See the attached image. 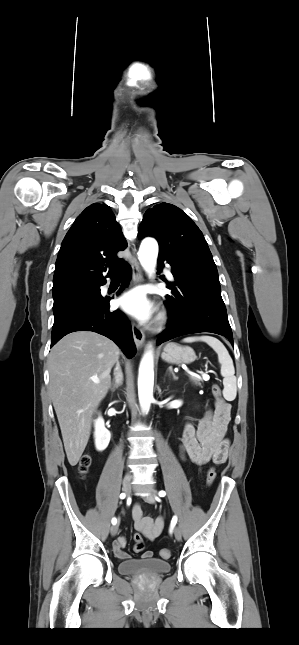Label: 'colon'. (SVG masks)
<instances>
[{
    "label": "colon",
    "instance_id": "5ec220e1",
    "mask_svg": "<svg viewBox=\"0 0 299 645\" xmlns=\"http://www.w3.org/2000/svg\"><path fill=\"white\" fill-rule=\"evenodd\" d=\"M212 393L218 401L225 402L222 397L221 388L217 384H214L212 386ZM90 466H91V457L89 455L82 456L78 466V470L80 474L85 475L89 471ZM215 478H216V471L214 467H211L207 472V484L212 485L213 482L215 481ZM134 540H135L134 551L137 553L143 552L145 546H144L142 537L136 534L134 536ZM160 555L161 557L168 559L171 556V551L167 548H164L160 551Z\"/></svg>",
    "mask_w": 299,
    "mask_h": 645
}]
</instances>
